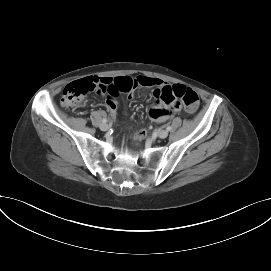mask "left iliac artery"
Returning a JSON list of instances; mask_svg holds the SVG:
<instances>
[{
  "label": "left iliac artery",
  "instance_id": "1",
  "mask_svg": "<svg viewBox=\"0 0 271 271\" xmlns=\"http://www.w3.org/2000/svg\"><path fill=\"white\" fill-rule=\"evenodd\" d=\"M171 129H172L171 126H167L166 128L167 131H171Z\"/></svg>",
  "mask_w": 271,
  "mask_h": 271
}]
</instances>
